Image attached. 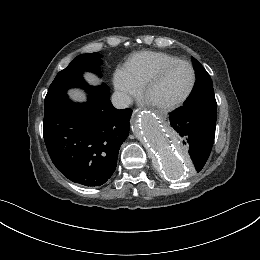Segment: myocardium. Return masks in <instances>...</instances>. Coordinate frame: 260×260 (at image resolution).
<instances>
[{
  "label": "myocardium",
  "instance_id": "f54148a6",
  "mask_svg": "<svg viewBox=\"0 0 260 260\" xmlns=\"http://www.w3.org/2000/svg\"><path fill=\"white\" fill-rule=\"evenodd\" d=\"M180 64H186L189 66V68L191 69V73H192V79L190 82V85L188 87V89L186 90V92L177 100L169 102V103H162V104H156L154 103V105L160 109L163 110H173L179 106H181L192 94L194 87L196 85V80H197V76H196V71L193 67V65L186 61V60H177L171 63H168L164 66H162L160 69H158L153 75L152 77L148 80V82L146 83V96L149 98L150 97V93L151 90L154 88V86H156L161 80L162 78L174 67L180 65Z\"/></svg>",
  "mask_w": 260,
  "mask_h": 260
}]
</instances>
